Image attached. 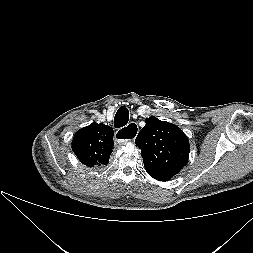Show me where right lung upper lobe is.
I'll list each match as a JSON object with an SVG mask.
<instances>
[{"label": "right lung upper lobe", "instance_id": "cb5924a9", "mask_svg": "<svg viewBox=\"0 0 253 253\" xmlns=\"http://www.w3.org/2000/svg\"><path fill=\"white\" fill-rule=\"evenodd\" d=\"M113 135L114 131L110 126L92 123L76 132L72 150L82 164L102 168L109 163Z\"/></svg>", "mask_w": 253, "mask_h": 253}]
</instances>
